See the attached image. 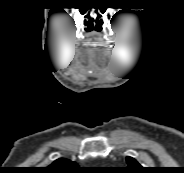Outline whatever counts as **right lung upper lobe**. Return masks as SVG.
<instances>
[{
  "label": "right lung upper lobe",
  "mask_w": 184,
  "mask_h": 173,
  "mask_svg": "<svg viewBox=\"0 0 184 173\" xmlns=\"http://www.w3.org/2000/svg\"><path fill=\"white\" fill-rule=\"evenodd\" d=\"M78 169L77 164L68 159L60 158L50 166L42 169L43 173H75Z\"/></svg>",
  "instance_id": "cb5924a9"
}]
</instances>
